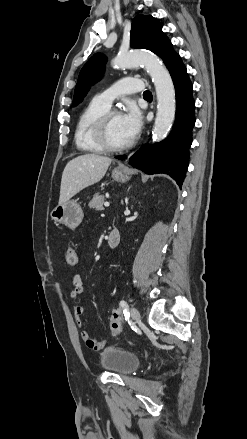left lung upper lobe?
I'll list each match as a JSON object with an SVG mask.
<instances>
[{"label":"left lung upper lobe","mask_w":247,"mask_h":439,"mask_svg":"<svg viewBox=\"0 0 247 439\" xmlns=\"http://www.w3.org/2000/svg\"><path fill=\"white\" fill-rule=\"evenodd\" d=\"M132 48H143L157 54L170 70L181 58L172 48L171 41L162 32L161 23L151 15H138L132 22L130 32ZM106 57L95 54L81 69L75 87L73 106L80 103L90 86L99 81L105 68Z\"/></svg>","instance_id":"5c2ea615"}]
</instances>
